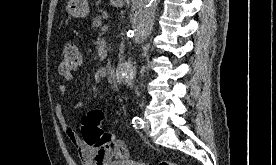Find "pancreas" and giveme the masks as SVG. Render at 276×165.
Instances as JSON below:
<instances>
[{
  "label": "pancreas",
  "instance_id": "obj_1",
  "mask_svg": "<svg viewBox=\"0 0 276 165\" xmlns=\"http://www.w3.org/2000/svg\"><path fill=\"white\" fill-rule=\"evenodd\" d=\"M101 26H102V17L101 16H96L95 18H93L92 28L98 29Z\"/></svg>",
  "mask_w": 276,
  "mask_h": 165
}]
</instances>
